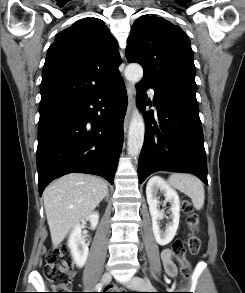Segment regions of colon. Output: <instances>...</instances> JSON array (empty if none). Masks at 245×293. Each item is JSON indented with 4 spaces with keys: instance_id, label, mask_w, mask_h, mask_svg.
Listing matches in <instances>:
<instances>
[{
    "instance_id": "5ec220e1",
    "label": "colon",
    "mask_w": 245,
    "mask_h": 293,
    "mask_svg": "<svg viewBox=\"0 0 245 293\" xmlns=\"http://www.w3.org/2000/svg\"><path fill=\"white\" fill-rule=\"evenodd\" d=\"M181 207L189 229V251L191 254H197L201 247V240L198 236V216L193 211L192 205L189 201H183ZM185 251L184 243L181 240L174 242V256L181 264L182 278L187 280L190 277L191 269L190 264L186 259ZM43 271L49 284L59 291L57 293H70L69 290L74 278V265L70 250L67 247L51 250L46 257Z\"/></svg>"
}]
</instances>
